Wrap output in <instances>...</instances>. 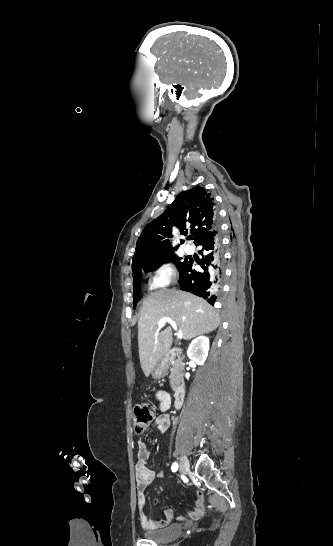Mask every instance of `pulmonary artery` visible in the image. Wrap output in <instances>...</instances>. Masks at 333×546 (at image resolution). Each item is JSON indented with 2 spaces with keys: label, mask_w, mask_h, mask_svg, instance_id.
I'll return each instance as SVG.
<instances>
[{
  "label": "pulmonary artery",
  "mask_w": 333,
  "mask_h": 546,
  "mask_svg": "<svg viewBox=\"0 0 333 546\" xmlns=\"http://www.w3.org/2000/svg\"><path fill=\"white\" fill-rule=\"evenodd\" d=\"M184 251L186 254H193L195 252V248L192 245L187 244L184 247Z\"/></svg>",
  "instance_id": "1"
}]
</instances>
